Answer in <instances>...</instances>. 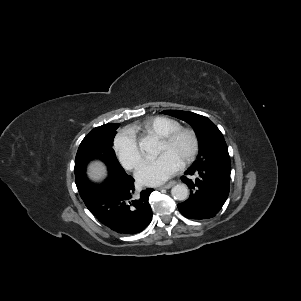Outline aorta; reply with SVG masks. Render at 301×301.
Instances as JSON below:
<instances>
[{
  "mask_svg": "<svg viewBox=\"0 0 301 301\" xmlns=\"http://www.w3.org/2000/svg\"><path fill=\"white\" fill-rule=\"evenodd\" d=\"M139 146L140 149L148 151L153 146V140L149 137L142 138ZM171 195L178 201H185L189 197V189L184 184H177L171 189Z\"/></svg>",
  "mask_w": 301,
  "mask_h": 301,
  "instance_id": "762f6f07",
  "label": "aorta"
}]
</instances>
